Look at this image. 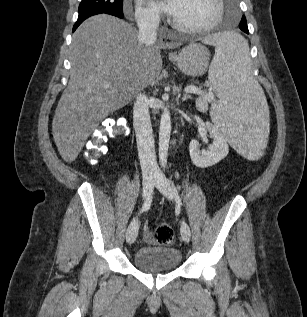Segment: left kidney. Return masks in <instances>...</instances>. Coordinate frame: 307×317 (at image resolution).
Wrapping results in <instances>:
<instances>
[{
  "label": "left kidney",
  "mask_w": 307,
  "mask_h": 317,
  "mask_svg": "<svg viewBox=\"0 0 307 317\" xmlns=\"http://www.w3.org/2000/svg\"><path fill=\"white\" fill-rule=\"evenodd\" d=\"M210 137L213 139L211 145L207 150H200L197 140H192L189 145L190 157L197 167H210L225 158L229 152L228 144L225 138L218 132V130L211 123H206Z\"/></svg>",
  "instance_id": "1"
}]
</instances>
